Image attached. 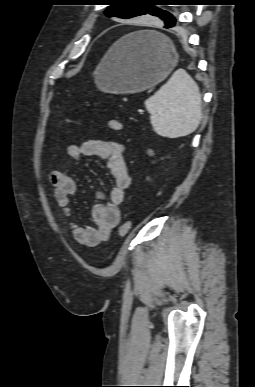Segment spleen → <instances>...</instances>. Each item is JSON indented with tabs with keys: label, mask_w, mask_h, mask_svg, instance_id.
<instances>
[{
	"label": "spleen",
	"mask_w": 255,
	"mask_h": 387,
	"mask_svg": "<svg viewBox=\"0 0 255 387\" xmlns=\"http://www.w3.org/2000/svg\"><path fill=\"white\" fill-rule=\"evenodd\" d=\"M154 131L168 138L193 133L202 118L201 94L197 83L183 69L145 101Z\"/></svg>",
	"instance_id": "3e777b00"
}]
</instances>
